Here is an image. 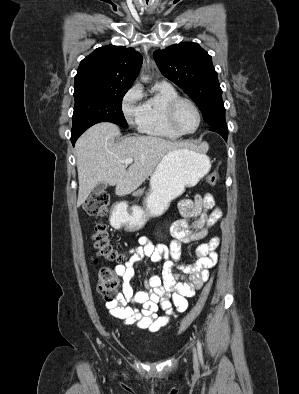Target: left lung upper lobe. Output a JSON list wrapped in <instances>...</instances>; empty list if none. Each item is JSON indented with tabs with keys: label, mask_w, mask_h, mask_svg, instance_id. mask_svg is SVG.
Returning <instances> with one entry per match:
<instances>
[{
	"label": "left lung upper lobe",
	"mask_w": 299,
	"mask_h": 394,
	"mask_svg": "<svg viewBox=\"0 0 299 394\" xmlns=\"http://www.w3.org/2000/svg\"><path fill=\"white\" fill-rule=\"evenodd\" d=\"M153 56L161 73L192 98L209 126L226 125L217 72L211 56L199 44H174Z\"/></svg>",
	"instance_id": "left-lung-upper-lobe-1"
}]
</instances>
